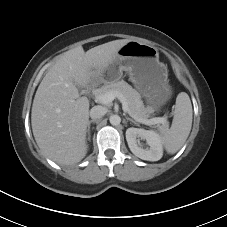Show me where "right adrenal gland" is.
I'll list each match as a JSON object with an SVG mask.
<instances>
[{"label": "right adrenal gland", "mask_w": 227, "mask_h": 227, "mask_svg": "<svg viewBox=\"0 0 227 227\" xmlns=\"http://www.w3.org/2000/svg\"><path fill=\"white\" fill-rule=\"evenodd\" d=\"M97 120H90L87 124V133H88V140H90V125L91 123H96Z\"/></svg>", "instance_id": "1"}]
</instances>
